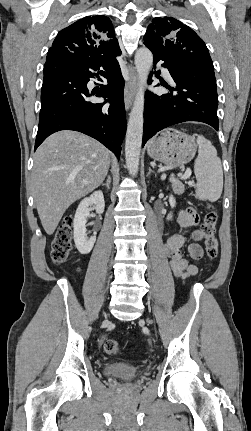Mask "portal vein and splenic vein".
<instances>
[{"instance_id": "portal-vein-and-splenic-vein-1", "label": "portal vein and splenic vein", "mask_w": 251, "mask_h": 431, "mask_svg": "<svg viewBox=\"0 0 251 431\" xmlns=\"http://www.w3.org/2000/svg\"><path fill=\"white\" fill-rule=\"evenodd\" d=\"M191 176V170L187 169L185 174L181 176V179H187Z\"/></svg>"}]
</instances>
